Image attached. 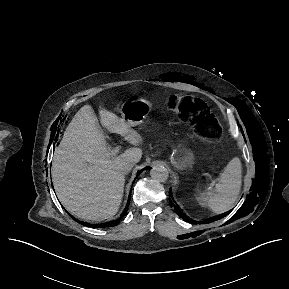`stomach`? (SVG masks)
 Returning <instances> with one entry per match:
<instances>
[{"label":"stomach","mask_w":289,"mask_h":289,"mask_svg":"<svg viewBox=\"0 0 289 289\" xmlns=\"http://www.w3.org/2000/svg\"><path fill=\"white\" fill-rule=\"evenodd\" d=\"M151 102L147 99L139 98L123 105L120 109L121 117L130 126L140 124L151 112ZM193 161L192 151L184 147L179 156L175 159L176 166L181 169H187Z\"/></svg>","instance_id":"1"}]
</instances>
